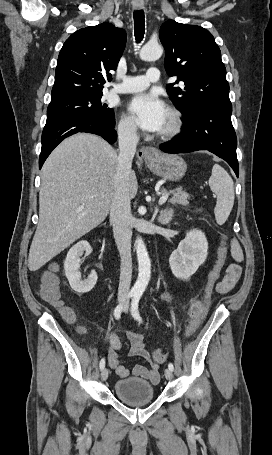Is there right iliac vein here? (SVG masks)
Returning a JSON list of instances; mask_svg holds the SVG:
<instances>
[{"label": "right iliac vein", "instance_id": "obj_1", "mask_svg": "<svg viewBox=\"0 0 272 455\" xmlns=\"http://www.w3.org/2000/svg\"><path fill=\"white\" fill-rule=\"evenodd\" d=\"M109 375V371L107 368H104L101 372V379L102 381H106Z\"/></svg>", "mask_w": 272, "mask_h": 455}]
</instances>
